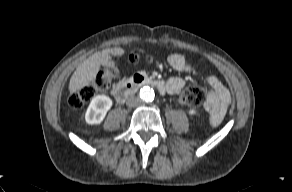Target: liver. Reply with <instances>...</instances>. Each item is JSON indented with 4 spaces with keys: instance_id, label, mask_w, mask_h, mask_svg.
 I'll return each instance as SVG.
<instances>
[{
    "instance_id": "obj_1",
    "label": "liver",
    "mask_w": 292,
    "mask_h": 192,
    "mask_svg": "<svg viewBox=\"0 0 292 192\" xmlns=\"http://www.w3.org/2000/svg\"><path fill=\"white\" fill-rule=\"evenodd\" d=\"M101 60V54L98 52L91 55L76 68L69 82L70 93H75L84 88L96 78Z\"/></svg>"
}]
</instances>
